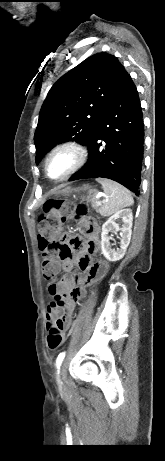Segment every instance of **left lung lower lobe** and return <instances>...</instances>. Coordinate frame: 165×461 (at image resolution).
<instances>
[{"label": "left lung lower lobe", "instance_id": "obj_1", "mask_svg": "<svg viewBox=\"0 0 165 461\" xmlns=\"http://www.w3.org/2000/svg\"><path fill=\"white\" fill-rule=\"evenodd\" d=\"M143 143L142 109L136 86L127 74L87 143L88 162L69 180L108 178L138 195Z\"/></svg>", "mask_w": 165, "mask_h": 461}]
</instances>
